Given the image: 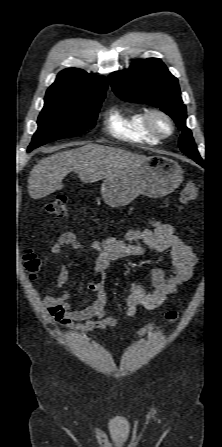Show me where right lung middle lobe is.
Returning a JSON list of instances; mask_svg holds the SVG:
<instances>
[{
  "label": "right lung middle lobe",
  "instance_id": "dd1d6c3e",
  "mask_svg": "<svg viewBox=\"0 0 222 447\" xmlns=\"http://www.w3.org/2000/svg\"><path fill=\"white\" fill-rule=\"evenodd\" d=\"M104 95L77 97L46 92L45 105L38 117V130L28 152L48 142L79 135L94 127Z\"/></svg>",
  "mask_w": 222,
  "mask_h": 447
}]
</instances>
